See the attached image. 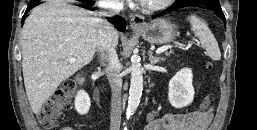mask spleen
Segmentation results:
<instances>
[{"label":"spleen","instance_id":"3e777b00","mask_svg":"<svg viewBox=\"0 0 257 130\" xmlns=\"http://www.w3.org/2000/svg\"><path fill=\"white\" fill-rule=\"evenodd\" d=\"M188 20L191 24V30L199 38L201 46L206 50L207 55L212 60L219 61L221 59L220 49L207 23L196 15H190Z\"/></svg>","mask_w":257,"mask_h":130}]
</instances>
